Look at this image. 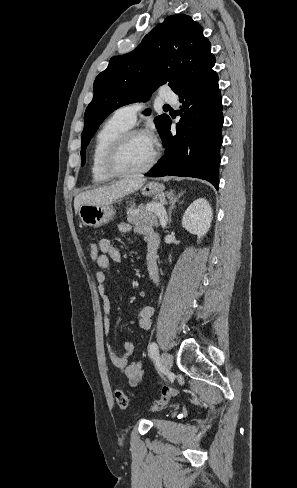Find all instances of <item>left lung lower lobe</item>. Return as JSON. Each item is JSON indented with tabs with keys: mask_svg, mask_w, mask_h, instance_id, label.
<instances>
[{
	"mask_svg": "<svg viewBox=\"0 0 297 488\" xmlns=\"http://www.w3.org/2000/svg\"><path fill=\"white\" fill-rule=\"evenodd\" d=\"M217 81L214 71L179 96L183 108L176 133H171L169 119L162 136L165 154L145 176L196 177L211 182L218 189L223 117Z\"/></svg>",
	"mask_w": 297,
	"mask_h": 488,
	"instance_id": "left-lung-lower-lobe-1",
	"label": "left lung lower lobe"
}]
</instances>
